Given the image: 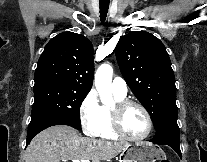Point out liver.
<instances>
[{
	"label": "liver",
	"instance_id": "1",
	"mask_svg": "<svg viewBox=\"0 0 207 162\" xmlns=\"http://www.w3.org/2000/svg\"><path fill=\"white\" fill-rule=\"evenodd\" d=\"M128 146L126 143L82 137L70 126L54 125L32 139L25 152V162L108 161Z\"/></svg>",
	"mask_w": 207,
	"mask_h": 162
}]
</instances>
